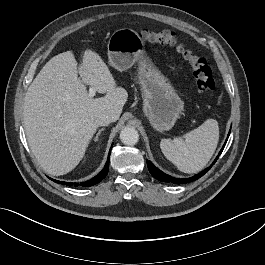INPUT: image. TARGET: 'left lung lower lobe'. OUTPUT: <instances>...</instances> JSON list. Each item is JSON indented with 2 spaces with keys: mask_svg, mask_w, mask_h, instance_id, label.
Here are the masks:
<instances>
[{
  "mask_svg": "<svg viewBox=\"0 0 265 265\" xmlns=\"http://www.w3.org/2000/svg\"><path fill=\"white\" fill-rule=\"evenodd\" d=\"M229 134H230V131H229ZM229 134H228V137H229ZM227 140H228V138L226 139V142H227ZM226 142L223 145V147H222L219 155L223 151V149H224V147L226 145ZM219 155L214 160L213 164L216 162V160L218 159ZM147 166H148L149 172L151 173V175L154 178H156L157 180H160L162 182H172L174 184H185V183H188V182H192L194 180H197L200 177H202L206 172H208V170L211 168V167H208L207 169H205L201 173H199V174H197V175H195V176H193L191 178H187V179H177V178L171 177V176L165 174L164 172H162L161 170H159L157 167L154 166V164L151 161H147Z\"/></svg>",
  "mask_w": 265,
  "mask_h": 265,
  "instance_id": "0a47b994",
  "label": "left lung lower lobe"
}]
</instances>
